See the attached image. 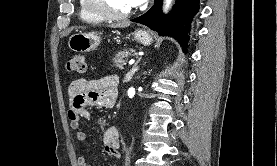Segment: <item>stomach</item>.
<instances>
[{
	"label": "stomach",
	"instance_id": "1",
	"mask_svg": "<svg viewBox=\"0 0 277 166\" xmlns=\"http://www.w3.org/2000/svg\"><path fill=\"white\" fill-rule=\"evenodd\" d=\"M134 39L144 46L153 42V37L145 30L137 29L134 32ZM101 43L100 34L97 32H77L69 38V48L75 52H90L96 49Z\"/></svg>",
	"mask_w": 277,
	"mask_h": 166
}]
</instances>
